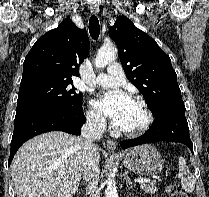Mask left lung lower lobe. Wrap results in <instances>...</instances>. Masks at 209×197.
<instances>
[{
  "instance_id": "1",
  "label": "left lung lower lobe",
  "mask_w": 209,
  "mask_h": 197,
  "mask_svg": "<svg viewBox=\"0 0 209 197\" xmlns=\"http://www.w3.org/2000/svg\"><path fill=\"white\" fill-rule=\"evenodd\" d=\"M154 116L153 125L143 136L121 141L120 146L126 149L153 141H170L187 145L193 153L184 105L162 107L154 113Z\"/></svg>"
}]
</instances>
